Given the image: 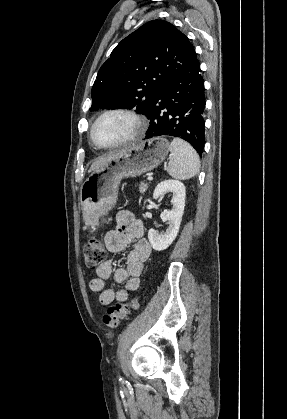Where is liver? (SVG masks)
Here are the masks:
<instances>
[{
  "instance_id": "obj_1",
  "label": "liver",
  "mask_w": 287,
  "mask_h": 419,
  "mask_svg": "<svg viewBox=\"0 0 287 419\" xmlns=\"http://www.w3.org/2000/svg\"><path fill=\"white\" fill-rule=\"evenodd\" d=\"M122 151V150H121ZM114 152L111 154H108L106 156H102L100 158H98L97 160H95V162L91 165L89 172H92L96 169H98L100 166H102L104 163H106L107 161H109L110 159H112L113 157H115L119 152Z\"/></svg>"
}]
</instances>
